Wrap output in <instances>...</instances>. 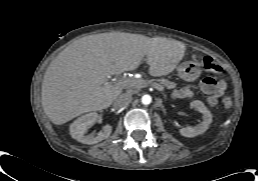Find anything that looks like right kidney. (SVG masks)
<instances>
[{
    "instance_id": "obj_1",
    "label": "right kidney",
    "mask_w": 258,
    "mask_h": 181,
    "mask_svg": "<svg viewBox=\"0 0 258 181\" xmlns=\"http://www.w3.org/2000/svg\"><path fill=\"white\" fill-rule=\"evenodd\" d=\"M98 119V115L96 112H91L88 114H85L79 118H77L71 125H70V134L72 138L76 139L77 141L83 143V144H96L98 142H101L104 139H107L111 132H112V126L107 124L104 126L103 131L96 134H89L85 135L87 129L94 124Z\"/></svg>"
}]
</instances>
